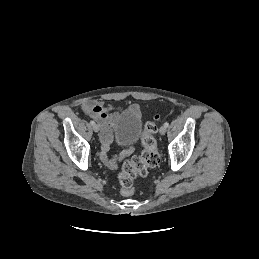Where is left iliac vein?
I'll list each match as a JSON object with an SVG mask.
<instances>
[{
	"instance_id": "obj_1",
	"label": "left iliac vein",
	"mask_w": 259,
	"mask_h": 259,
	"mask_svg": "<svg viewBox=\"0 0 259 259\" xmlns=\"http://www.w3.org/2000/svg\"><path fill=\"white\" fill-rule=\"evenodd\" d=\"M159 133H160L161 135H164V134L166 133V127H165L164 125L160 127Z\"/></svg>"
}]
</instances>
